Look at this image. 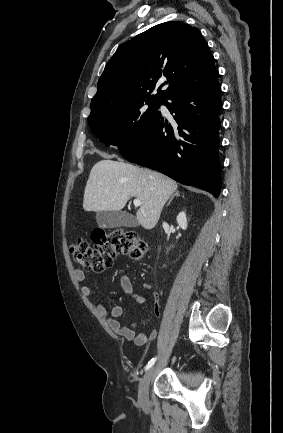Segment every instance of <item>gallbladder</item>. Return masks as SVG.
<instances>
[{
    "mask_svg": "<svg viewBox=\"0 0 283 433\" xmlns=\"http://www.w3.org/2000/svg\"><path fill=\"white\" fill-rule=\"evenodd\" d=\"M96 221L101 229H116V227H139L134 214L123 210H97Z\"/></svg>",
    "mask_w": 283,
    "mask_h": 433,
    "instance_id": "bac80fb5",
    "label": "gallbladder"
}]
</instances>
